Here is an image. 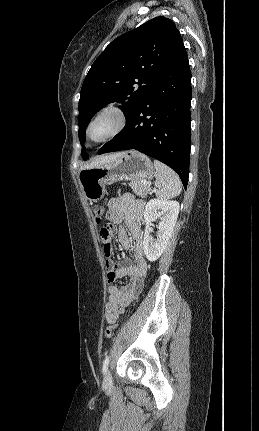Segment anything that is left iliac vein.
I'll return each mask as SVG.
<instances>
[{"label":"left iliac vein","instance_id":"obj_1","mask_svg":"<svg viewBox=\"0 0 259 431\" xmlns=\"http://www.w3.org/2000/svg\"><path fill=\"white\" fill-rule=\"evenodd\" d=\"M111 381H112L111 373H110V371H106L104 379H103V384L104 385H110Z\"/></svg>","mask_w":259,"mask_h":431}]
</instances>
